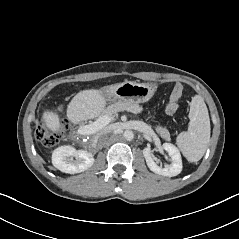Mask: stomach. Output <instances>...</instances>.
<instances>
[{"label": "stomach", "mask_w": 239, "mask_h": 239, "mask_svg": "<svg viewBox=\"0 0 239 239\" xmlns=\"http://www.w3.org/2000/svg\"><path fill=\"white\" fill-rule=\"evenodd\" d=\"M102 91L107 101L113 102L118 100L139 104L149 101L154 95L155 88L148 83L125 81L107 86Z\"/></svg>", "instance_id": "1"}]
</instances>
